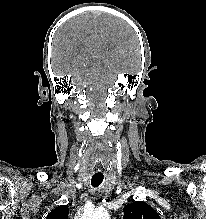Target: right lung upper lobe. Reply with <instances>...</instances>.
Masks as SVG:
<instances>
[{"instance_id":"cb5924a9","label":"right lung upper lobe","mask_w":206,"mask_h":219,"mask_svg":"<svg viewBox=\"0 0 206 219\" xmlns=\"http://www.w3.org/2000/svg\"><path fill=\"white\" fill-rule=\"evenodd\" d=\"M69 209L67 205H61L52 210L46 219H68Z\"/></svg>"}]
</instances>
